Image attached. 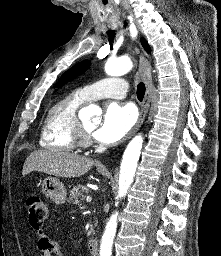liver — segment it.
I'll return each mask as SVG.
<instances>
[{
    "label": "liver",
    "instance_id": "6515ba94",
    "mask_svg": "<svg viewBox=\"0 0 221 256\" xmlns=\"http://www.w3.org/2000/svg\"><path fill=\"white\" fill-rule=\"evenodd\" d=\"M91 158L83 157L59 150H38L26 159L22 174L26 176L32 171L49 175L75 178L87 173L93 166Z\"/></svg>",
    "mask_w": 221,
    "mask_h": 256
}]
</instances>
